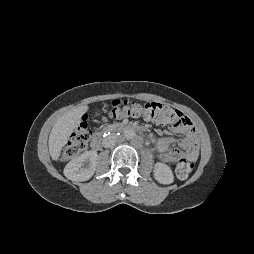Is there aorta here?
<instances>
[{
	"instance_id": "aorta-1",
	"label": "aorta",
	"mask_w": 254,
	"mask_h": 254,
	"mask_svg": "<svg viewBox=\"0 0 254 254\" xmlns=\"http://www.w3.org/2000/svg\"><path fill=\"white\" fill-rule=\"evenodd\" d=\"M124 136L125 138L127 139H132L134 138L135 136V131L133 129H127L125 132H124Z\"/></svg>"
}]
</instances>
